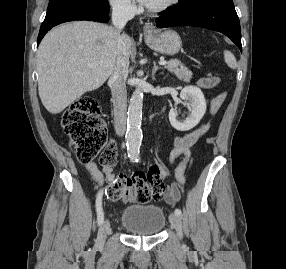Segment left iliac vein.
<instances>
[{
  "label": "left iliac vein",
  "mask_w": 286,
  "mask_h": 269,
  "mask_svg": "<svg viewBox=\"0 0 286 269\" xmlns=\"http://www.w3.org/2000/svg\"><path fill=\"white\" fill-rule=\"evenodd\" d=\"M170 223L172 227L176 230L179 237H182V225H181V219L178 215L175 213L170 214L169 216Z\"/></svg>",
  "instance_id": "1"
}]
</instances>
